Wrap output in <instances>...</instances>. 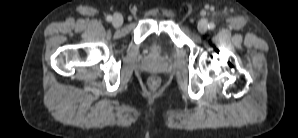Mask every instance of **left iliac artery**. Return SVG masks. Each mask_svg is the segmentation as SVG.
I'll return each mask as SVG.
<instances>
[{"label": "left iliac artery", "mask_w": 298, "mask_h": 138, "mask_svg": "<svg viewBox=\"0 0 298 138\" xmlns=\"http://www.w3.org/2000/svg\"><path fill=\"white\" fill-rule=\"evenodd\" d=\"M215 28V24L214 23H210L208 25V29L213 30Z\"/></svg>", "instance_id": "left-iliac-artery-1"}]
</instances>
